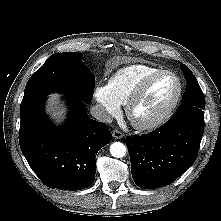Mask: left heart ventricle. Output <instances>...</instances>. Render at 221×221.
Wrapping results in <instances>:
<instances>
[{"label":"left heart ventricle","mask_w":221,"mask_h":221,"mask_svg":"<svg viewBox=\"0 0 221 221\" xmlns=\"http://www.w3.org/2000/svg\"><path fill=\"white\" fill-rule=\"evenodd\" d=\"M176 89V81L170 75L152 81L133 110V120L146 122L158 116L172 101Z\"/></svg>","instance_id":"b2bd125f"}]
</instances>
